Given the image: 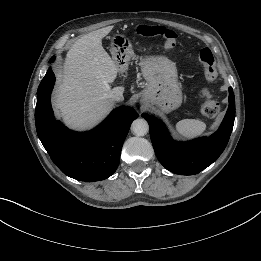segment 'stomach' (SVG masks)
<instances>
[{
  "instance_id": "1",
  "label": "stomach",
  "mask_w": 261,
  "mask_h": 261,
  "mask_svg": "<svg viewBox=\"0 0 261 261\" xmlns=\"http://www.w3.org/2000/svg\"><path fill=\"white\" fill-rule=\"evenodd\" d=\"M114 62L120 69L127 68L135 57L131 41L117 33L111 39ZM143 77L147 81L142 92V102L156 106L168 113L177 109L182 103V91L178 82L176 64L165 56H146L140 58Z\"/></svg>"
}]
</instances>
